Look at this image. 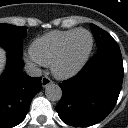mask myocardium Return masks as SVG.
Returning <instances> with one entry per match:
<instances>
[{
    "instance_id": "myocardium-1",
    "label": "myocardium",
    "mask_w": 128,
    "mask_h": 128,
    "mask_svg": "<svg viewBox=\"0 0 128 128\" xmlns=\"http://www.w3.org/2000/svg\"><path fill=\"white\" fill-rule=\"evenodd\" d=\"M80 32H84V33L88 34V36L90 38L89 48H88L87 52L85 53V55L82 57V59L76 65H74L73 67H71L69 69H63L62 66L66 60L69 45H70L72 39ZM93 47H94V39H93V36L90 31H88L86 29H82V28L75 30L71 34V36L65 41L58 56L56 57L55 61L53 62L52 66H51L53 75L57 79H60V80H67V79H70V78L74 77L75 75H77L86 65V63L92 53Z\"/></svg>"
}]
</instances>
